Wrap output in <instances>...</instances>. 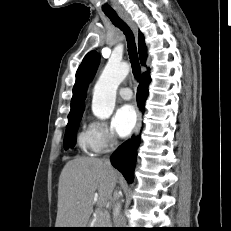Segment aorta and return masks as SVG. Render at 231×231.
Returning <instances> with one entry per match:
<instances>
[{
    "label": "aorta",
    "instance_id": "aorta-1",
    "mask_svg": "<svg viewBox=\"0 0 231 231\" xmlns=\"http://www.w3.org/2000/svg\"><path fill=\"white\" fill-rule=\"evenodd\" d=\"M129 71L130 66L126 62L108 61L93 92L92 111L97 118L104 120L112 115L117 88L127 77ZM118 207L116 208V213L118 212Z\"/></svg>",
    "mask_w": 231,
    "mask_h": 231
}]
</instances>
